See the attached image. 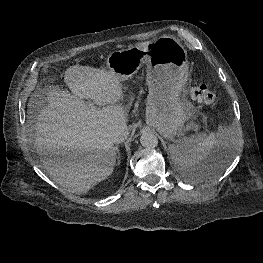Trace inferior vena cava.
<instances>
[{
	"instance_id": "602c4592",
	"label": "inferior vena cava",
	"mask_w": 263,
	"mask_h": 263,
	"mask_svg": "<svg viewBox=\"0 0 263 263\" xmlns=\"http://www.w3.org/2000/svg\"><path fill=\"white\" fill-rule=\"evenodd\" d=\"M129 131L126 126L114 129L111 132V140L113 143H122L128 137Z\"/></svg>"
}]
</instances>
